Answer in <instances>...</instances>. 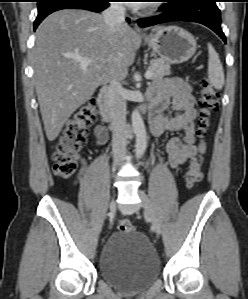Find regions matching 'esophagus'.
Here are the masks:
<instances>
[{
  "instance_id": "1",
  "label": "esophagus",
  "mask_w": 248,
  "mask_h": 299,
  "mask_svg": "<svg viewBox=\"0 0 248 299\" xmlns=\"http://www.w3.org/2000/svg\"><path fill=\"white\" fill-rule=\"evenodd\" d=\"M134 29L136 30V32L139 34L140 33V28L137 26V24H135Z\"/></svg>"
}]
</instances>
